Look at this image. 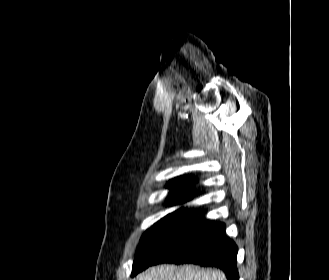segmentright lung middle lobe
<instances>
[{
    "label": "right lung middle lobe",
    "instance_id": "1",
    "mask_svg": "<svg viewBox=\"0 0 329 280\" xmlns=\"http://www.w3.org/2000/svg\"><path fill=\"white\" fill-rule=\"evenodd\" d=\"M188 200L190 199H169L168 205L181 204ZM195 218V213H190L182 207L168 214L148 229L141 237L138 253L133 263L132 276L146 269Z\"/></svg>",
    "mask_w": 329,
    "mask_h": 280
}]
</instances>
